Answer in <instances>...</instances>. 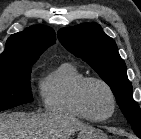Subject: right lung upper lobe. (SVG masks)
Listing matches in <instances>:
<instances>
[{
  "mask_svg": "<svg viewBox=\"0 0 141 139\" xmlns=\"http://www.w3.org/2000/svg\"><path fill=\"white\" fill-rule=\"evenodd\" d=\"M55 42L52 28L37 25L8 38L6 49L0 54V67L34 64L39 56Z\"/></svg>",
  "mask_w": 141,
  "mask_h": 139,
  "instance_id": "obj_1",
  "label": "right lung upper lobe"
}]
</instances>
